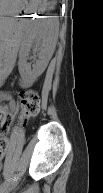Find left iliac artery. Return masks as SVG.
I'll return each instance as SVG.
<instances>
[{
  "label": "left iliac artery",
  "mask_w": 103,
  "mask_h": 193,
  "mask_svg": "<svg viewBox=\"0 0 103 193\" xmlns=\"http://www.w3.org/2000/svg\"><path fill=\"white\" fill-rule=\"evenodd\" d=\"M17 175H18V174H15L14 178H9L8 180H6V181L1 185V188L7 187L12 180H15V179H16Z\"/></svg>",
  "instance_id": "left-iliac-artery-1"
}]
</instances>
